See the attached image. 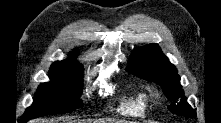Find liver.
Wrapping results in <instances>:
<instances>
[{
  "label": "liver",
  "instance_id": "obj_1",
  "mask_svg": "<svg viewBox=\"0 0 221 123\" xmlns=\"http://www.w3.org/2000/svg\"><path fill=\"white\" fill-rule=\"evenodd\" d=\"M108 123H127L121 120H106ZM30 123H49V120L45 119H37V120H32Z\"/></svg>",
  "mask_w": 221,
  "mask_h": 123
}]
</instances>
